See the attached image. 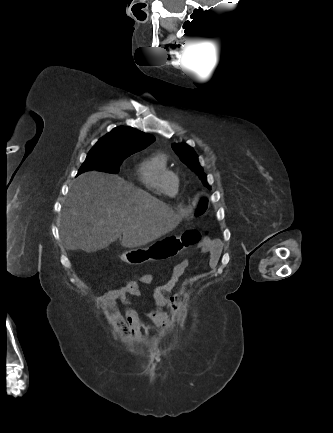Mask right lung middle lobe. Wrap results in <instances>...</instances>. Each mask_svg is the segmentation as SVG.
I'll return each mask as SVG.
<instances>
[{"instance_id": "dd1d6c3e", "label": "right lung middle lobe", "mask_w": 333, "mask_h": 433, "mask_svg": "<svg viewBox=\"0 0 333 433\" xmlns=\"http://www.w3.org/2000/svg\"><path fill=\"white\" fill-rule=\"evenodd\" d=\"M131 154L115 152L102 147H93L78 174L88 170H100L109 173H118L122 162Z\"/></svg>"}]
</instances>
